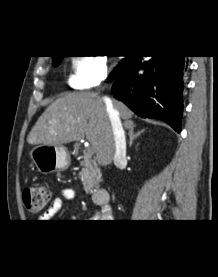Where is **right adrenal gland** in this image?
<instances>
[{"instance_id": "right-adrenal-gland-1", "label": "right adrenal gland", "mask_w": 218, "mask_h": 277, "mask_svg": "<svg viewBox=\"0 0 218 277\" xmlns=\"http://www.w3.org/2000/svg\"><path fill=\"white\" fill-rule=\"evenodd\" d=\"M145 131V129H142L140 131H138L137 133L134 132V127L130 128L129 129V132H128V136H129V147L132 146L133 144V141L139 137L143 132Z\"/></svg>"}]
</instances>
